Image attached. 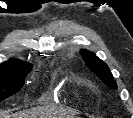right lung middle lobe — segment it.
<instances>
[{
    "instance_id": "1",
    "label": "right lung middle lobe",
    "mask_w": 133,
    "mask_h": 118,
    "mask_svg": "<svg viewBox=\"0 0 133 118\" xmlns=\"http://www.w3.org/2000/svg\"><path fill=\"white\" fill-rule=\"evenodd\" d=\"M32 67L0 69V101L17 93L24 85L26 75Z\"/></svg>"
}]
</instances>
